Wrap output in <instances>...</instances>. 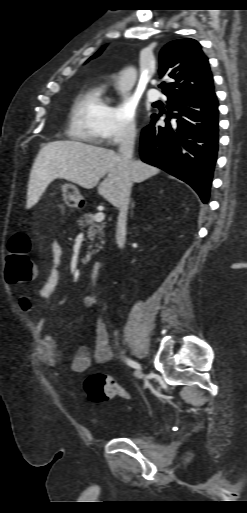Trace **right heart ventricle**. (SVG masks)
Wrapping results in <instances>:
<instances>
[{
	"mask_svg": "<svg viewBox=\"0 0 247 513\" xmlns=\"http://www.w3.org/2000/svg\"><path fill=\"white\" fill-rule=\"evenodd\" d=\"M109 110L110 105L103 84H93L84 88L73 101L67 127L68 136L90 144L102 143Z\"/></svg>",
	"mask_w": 247,
	"mask_h": 513,
	"instance_id": "1",
	"label": "right heart ventricle"
}]
</instances>
